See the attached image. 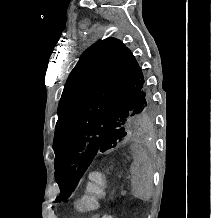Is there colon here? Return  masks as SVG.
I'll return each instance as SVG.
<instances>
[{
	"instance_id": "1",
	"label": "colon",
	"mask_w": 211,
	"mask_h": 218,
	"mask_svg": "<svg viewBox=\"0 0 211 218\" xmlns=\"http://www.w3.org/2000/svg\"><path fill=\"white\" fill-rule=\"evenodd\" d=\"M104 187V175L99 171H94L89 175V185L87 193L77 202V207L81 210H92L96 207L98 199L102 196ZM102 218H115L106 214Z\"/></svg>"
}]
</instances>
